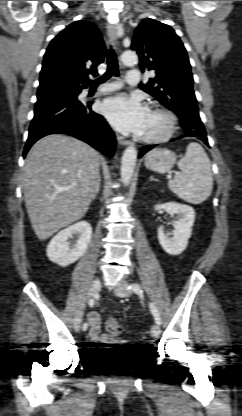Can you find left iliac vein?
Segmentation results:
<instances>
[{
  "instance_id": "obj_1",
  "label": "left iliac vein",
  "mask_w": 242,
  "mask_h": 416,
  "mask_svg": "<svg viewBox=\"0 0 242 416\" xmlns=\"http://www.w3.org/2000/svg\"><path fill=\"white\" fill-rule=\"evenodd\" d=\"M114 293L119 297H128L131 294V290L128 289V283L126 281H121L120 284L114 288ZM150 333L154 338L159 337L161 333L160 326L157 323L153 324Z\"/></svg>"
}]
</instances>
